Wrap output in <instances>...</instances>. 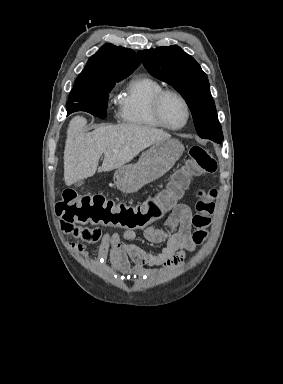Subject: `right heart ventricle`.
I'll return each instance as SVG.
<instances>
[{"label": "right heart ventricle", "instance_id": "1", "mask_svg": "<svg viewBox=\"0 0 283 384\" xmlns=\"http://www.w3.org/2000/svg\"><path fill=\"white\" fill-rule=\"evenodd\" d=\"M162 85L145 75L131 76L125 83L118 102V113L123 123L145 130L159 129L150 114V106Z\"/></svg>", "mask_w": 283, "mask_h": 384}]
</instances>
